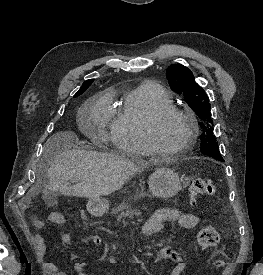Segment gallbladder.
Segmentation results:
<instances>
[{
	"label": "gallbladder",
	"mask_w": 263,
	"mask_h": 275,
	"mask_svg": "<svg viewBox=\"0 0 263 275\" xmlns=\"http://www.w3.org/2000/svg\"><path fill=\"white\" fill-rule=\"evenodd\" d=\"M44 201L48 206H55L57 205V193L48 191L43 196Z\"/></svg>",
	"instance_id": "bac80fb5"
}]
</instances>
